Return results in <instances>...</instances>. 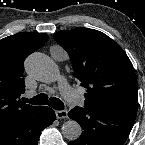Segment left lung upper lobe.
I'll use <instances>...</instances> for the list:
<instances>
[{
    "label": "left lung upper lobe",
    "mask_w": 145,
    "mask_h": 145,
    "mask_svg": "<svg viewBox=\"0 0 145 145\" xmlns=\"http://www.w3.org/2000/svg\"><path fill=\"white\" fill-rule=\"evenodd\" d=\"M53 37L69 54L80 85L87 88L85 108L137 111L135 71L114 40L100 31L83 27L60 31Z\"/></svg>",
    "instance_id": "1"
}]
</instances>
